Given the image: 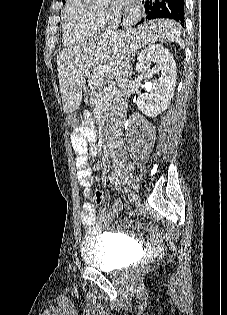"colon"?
I'll return each instance as SVG.
<instances>
[{
  "instance_id": "colon-1",
  "label": "colon",
  "mask_w": 227,
  "mask_h": 315,
  "mask_svg": "<svg viewBox=\"0 0 227 315\" xmlns=\"http://www.w3.org/2000/svg\"><path fill=\"white\" fill-rule=\"evenodd\" d=\"M68 124L71 127H76L78 125V117L76 115H70L68 117ZM104 200V195L102 193H97L96 194V201L98 203H102Z\"/></svg>"
}]
</instances>
